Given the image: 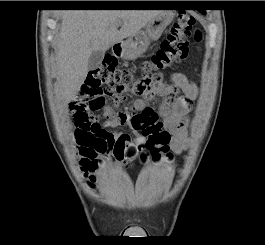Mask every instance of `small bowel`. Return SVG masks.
Returning <instances> with one entry per match:
<instances>
[{
  "label": "small bowel",
  "mask_w": 265,
  "mask_h": 245,
  "mask_svg": "<svg viewBox=\"0 0 265 245\" xmlns=\"http://www.w3.org/2000/svg\"><path fill=\"white\" fill-rule=\"evenodd\" d=\"M161 85L159 94L162 96V104L159 111H155L148 106L145 100L138 99L133 106L125 111L114 112L110 107L103 105V100L95 96L90 104L97 106V109H102L106 116L105 122L100 125V130L109 132L110 128L120 125L121 119L124 115L131 116L134 111L150 110L156 114L161 121L167 126L171 132V140L169 142L170 150L179 155L187 150L191 141L188 137V113L191 109V101L196 97L197 86L190 81L184 74L175 73L170 77V84L164 85L158 79ZM181 92V96L177 93ZM88 88H84L80 95V101L76 103L81 106L82 102L86 103L89 100ZM115 139H121L125 145L131 149H136V144L131 136L127 133H112ZM76 155L79 159V167L86 178L89 188L91 190L97 189L98 179L105 173V165L111 163L117 166L126 165L131 159L132 155L117 156L110 151L104 149L99 150L95 148H86L76 142Z\"/></svg>",
  "instance_id": "c3829d8e"
}]
</instances>
